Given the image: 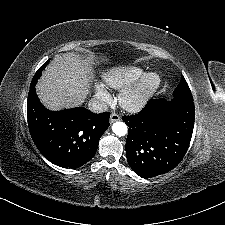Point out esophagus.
I'll return each mask as SVG.
<instances>
[{
    "mask_svg": "<svg viewBox=\"0 0 225 225\" xmlns=\"http://www.w3.org/2000/svg\"><path fill=\"white\" fill-rule=\"evenodd\" d=\"M120 120V116L117 114V113H112L110 115V123H114L116 121H119Z\"/></svg>",
    "mask_w": 225,
    "mask_h": 225,
    "instance_id": "34e87169",
    "label": "esophagus"
}]
</instances>
